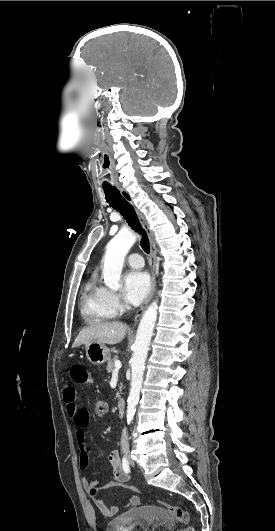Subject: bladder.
Returning a JSON list of instances; mask_svg holds the SVG:
<instances>
[{"instance_id": "31cf9c89", "label": "bladder", "mask_w": 275, "mask_h": 531, "mask_svg": "<svg viewBox=\"0 0 275 531\" xmlns=\"http://www.w3.org/2000/svg\"><path fill=\"white\" fill-rule=\"evenodd\" d=\"M173 518L161 505H142L108 520L105 531H172Z\"/></svg>"}]
</instances>
